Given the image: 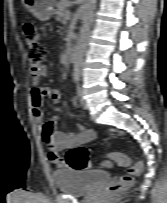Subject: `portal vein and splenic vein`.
Wrapping results in <instances>:
<instances>
[{"label":"portal vein and splenic vein","instance_id":"1","mask_svg":"<svg viewBox=\"0 0 167 203\" xmlns=\"http://www.w3.org/2000/svg\"><path fill=\"white\" fill-rule=\"evenodd\" d=\"M70 15H71L70 11H67V12H66L65 19H69V18H70Z\"/></svg>","mask_w":167,"mask_h":203}]
</instances>
